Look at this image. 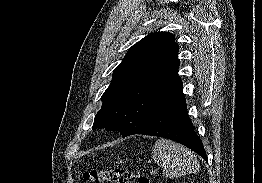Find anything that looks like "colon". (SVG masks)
Listing matches in <instances>:
<instances>
[{
  "mask_svg": "<svg viewBox=\"0 0 262 183\" xmlns=\"http://www.w3.org/2000/svg\"><path fill=\"white\" fill-rule=\"evenodd\" d=\"M83 180L87 183H150L146 176L134 175L125 171L96 169L84 172Z\"/></svg>",
  "mask_w": 262,
  "mask_h": 183,
  "instance_id": "obj_1",
  "label": "colon"
}]
</instances>
